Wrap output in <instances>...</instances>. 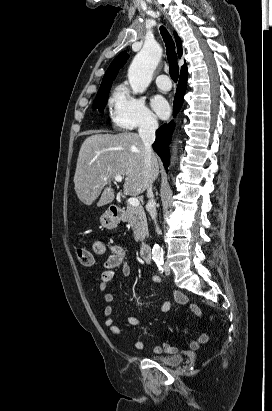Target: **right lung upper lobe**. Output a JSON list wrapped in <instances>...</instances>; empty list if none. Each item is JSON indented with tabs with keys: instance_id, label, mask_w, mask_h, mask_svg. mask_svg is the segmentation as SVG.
<instances>
[{
	"instance_id": "obj_1",
	"label": "right lung upper lobe",
	"mask_w": 272,
	"mask_h": 411,
	"mask_svg": "<svg viewBox=\"0 0 272 411\" xmlns=\"http://www.w3.org/2000/svg\"><path fill=\"white\" fill-rule=\"evenodd\" d=\"M174 37H175V41H176V44H177L178 57L181 58L182 53H183L182 47H181V40H180V38H179V36L177 35L176 32H174ZM128 58H129V55H127V53L124 51V52L120 53L112 61V63L110 64L109 68L107 69V71H106V73L103 77L100 89L112 84V81L115 79V77L118 74V70L121 67L124 66V64L126 63V60ZM184 71H187V67H186L185 64L181 67V72H184Z\"/></svg>"
}]
</instances>
